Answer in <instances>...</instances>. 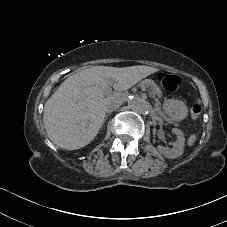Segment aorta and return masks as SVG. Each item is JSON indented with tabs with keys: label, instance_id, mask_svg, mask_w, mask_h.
<instances>
[{
	"label": "aorta",
	"instance_id": "762f6f07",
	"mask_svg": "<svg viewBox=\"0 0 227 227\" xmlns=\"http://www.w3.org/2000/svg\"><path fill=\"white\" fill-rule=\"evenodd\" d=\"M130 107L133 111L144 114L149 110V103L140 97H136L130 101Z\"/></svg>",
	"mask_w": 227,
	"mask_h": 227
}]
</instances>
